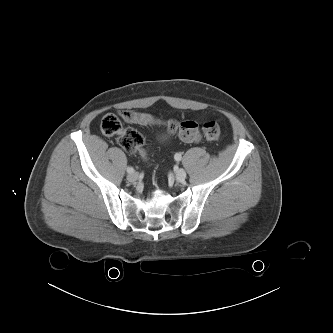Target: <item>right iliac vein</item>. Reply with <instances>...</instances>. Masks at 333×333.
Masks as SVG:
<instances>
[{"label": "right iliac vein", "instance_id": "obj_1", "mask_svg": "<svg viewBox=\"0 0 333 333\" xmlns=\"http://www.w3.org/2000/svg\"><path fill=\"white\" fill-rule=\"evenodd\" d=\"M138 179V174L136 172H133V173H129L127 175V180L129 182H135L136 180Z\"/></svg>", "mask_w": 333, "mask_h": 333}]
</instances>
